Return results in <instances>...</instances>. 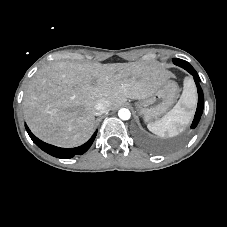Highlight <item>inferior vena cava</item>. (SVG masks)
Returning a JSON list of instances; mask_svg holds the SVG:
<instances>
[{"mask_svg": "<svg viewBox=\"0 0 227 227\" xmlns=\"http://www.w3.org/2000/svg\"><path fill=\"white\" fill-rule=\"evenodd\" d=\"M110 109V101L106 98H101L95 102L94 115L99 116L106 113Z\"/></svg>", "mask_w": 227, "mask_h": 227, "instance_id": "obj_1", "label": "inferior vena cava"}]
</instances>
